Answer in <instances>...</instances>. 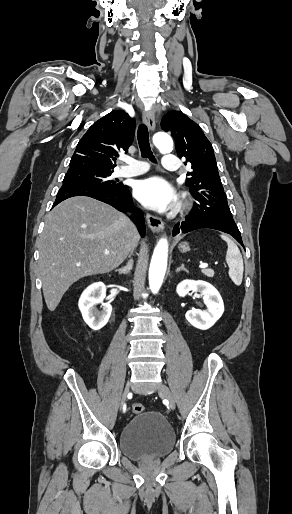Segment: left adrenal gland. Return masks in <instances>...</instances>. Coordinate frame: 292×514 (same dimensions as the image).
I'll use <instances>...</instances> for the list:
<instances>
[{
	"instance_id": "a2214340",
	"label": "left adrenal gland",
	"mask_w": 292,
	"mask_h": 514,
	"mask_svg": "<svg viewBox=\"0 0 292 514\" xmlns=\"http://www.w3.org/2000/svg\"><path fill=\"white\" fill-rule=\"evenodd\" d=\"M180 270H183V272H188V270L184 268V264H181L180 268H177L176 272H180Z\"/></svg>"
}]
</instances>
